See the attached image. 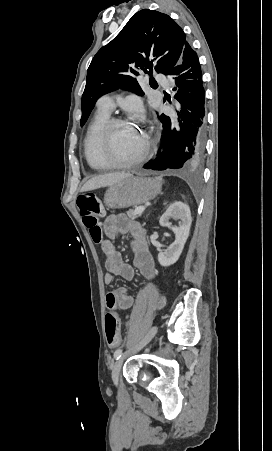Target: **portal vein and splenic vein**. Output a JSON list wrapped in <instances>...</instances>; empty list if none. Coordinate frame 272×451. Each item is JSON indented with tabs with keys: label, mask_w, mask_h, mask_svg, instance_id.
<instances>
[{
	"label": "portal vein and splenic vein",
	"mask_w": 272,
	"mask_h": 451,
	"mask_svg": "<svg viewBox=\"0 0 272 451\" xmlns=\"http://www.w3.org/2000/svg\"><path fill=\"white\" fill-rule=\"evenodd\" d=\"M144 210H146L144 206H139V208H136L135 214H141V212H144Z\"/></svg>",
	"instance_id": "obj_1"
}]
</instances>
